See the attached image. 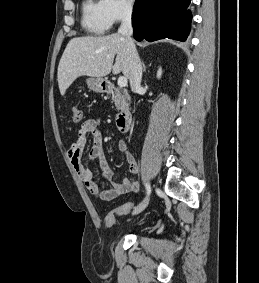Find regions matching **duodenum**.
<instances>
[{
	"label": "duodenum",
	"mask_w": 259,
	"mask_h": 283,
	"mask_svg": "<svg viewBox=\"0 0 259 283\" xmlns=\"http://www.w3.org/2000/svg\"><path fill=\"white\" fill-rule=\"evenodd\" d=\"M104 89L106 91H111L112 90V85L111 84H107ZM117 128L120 132L125 133L129 130L130 125H131V121H132V114L130 111L125 110V111H121L118 115H117Z\"/></svg>",
	"instance_id": "duodenum-1"
}]
</instances>
